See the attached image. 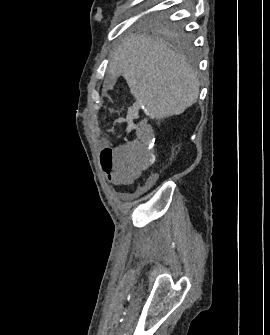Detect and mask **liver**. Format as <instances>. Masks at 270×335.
<instances>
[{
	"mask_svg": "<svg viewBox=\"0 0 270 335\" xmlns=\"http://www.w3.org/2000/svg\"><path fill=\"white\" fill-rule=\"evenodd\" d=\"M110 72L125 78L132 96L151 120L179 116L198 100L197 72L185 56L146 34L123 38L111 52Z\"/></svg>",
	"mask_w": 270,
	"mask_h": 335,
	"instance_id": "liver-1",
	"label": "liver"
}]
</instances>
